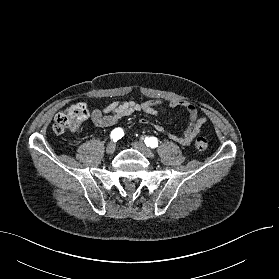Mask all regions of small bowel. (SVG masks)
I'll list each match as a JSON object with an SVG mask.
<instances>
[{
  "mask_svg": "<svg viewBox=\"0 0 279 279\" xmlns=\"http://www.w3.org/2000/svg\"><path fill=\"white\" fill-rule=\"evenodd\" d=\"M163 102L161 100L137 101H114L108 104L104 109H93L91 120L98 127H110L119 120L130 116L134 112H144L149 115H157L158 107ZM168 105L172 108H182L189 117V125L182 136H177L168 132L162 125L143 120L144 124L150 125L155 131L165 133L168 137L181 145H189L199 135L202 126L206 122L204 116H200L198 109L190 102L183 100H171Z\"/></svg>",
  "mask_w": 279,
  "mask_h": 279,
  "instance_id": "1",
  "label": "small bowel"
}]
</instances>
